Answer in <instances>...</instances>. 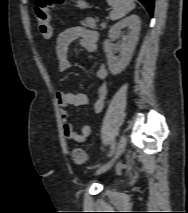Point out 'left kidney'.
Wrapping results in <instances>:
<instances>
[{"label":"left kidney","instance_id":"1","mask_svg":"<svg viewBox=\"0 0 188 213\" xmlns=\"http://www.w3.org/2000/svg\"><path fill=\"white\" fill-rule=\"evenodd\" d=\"M125 27L130 29V33L127 36H122L121 31ZM140 28L141 21L137 15H130L110 28L108 34L109 39L104 42L103 47L106 53L109 70L113 75L121 73L129 65L138 42ZM120 37H123L122 50L120 57H115L112 54V41Z\"/></svg>","mask_w":188,"mask_h":213}]
</instances>
